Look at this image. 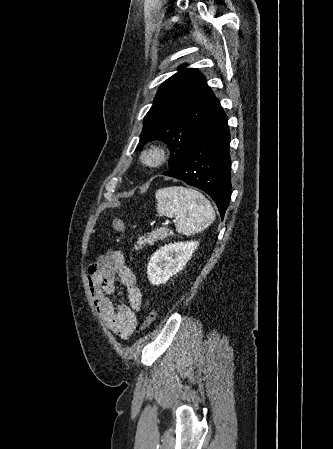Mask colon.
Listing matches in <instances>:
<instances>
[{"mask_svg":"<svg viewBox=\"0 0 333 449\" xmlns=\"http://www.w3.org/2000/svg\"><path fill=\"white\" fill-rule=\"evenodd\" d=\"M112 225L114 230L117 232H123L125 230V224L120 218H114L112 221ZM157 316H158L157 310L151 309L144 319L143 329L151 327L154 324Z\"/></svg>","mask_w":333,"mask_h":449,"instance_id":"colon-1","label":"colon"}]
</instances>
